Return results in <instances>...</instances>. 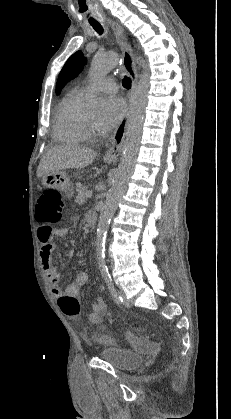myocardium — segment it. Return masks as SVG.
Instances as JSON below:
<instances>
[{
	"mask_svg": "<svg viewBox=\"0 0 231 419\" xmlns=\"http://www.w3.org/2000/svg\"><path fill=\"white\" fill-rule=\"evenodd\" d=\"M85 128L88 136L96 137L98 135L95 124L87 116L85 117Z\"/></svg>",
	"mask_w": 231,
	"mask_h": 419,
	"instance_id": "f54148a6",
	"label": "myocardium"
}]
</instances>
